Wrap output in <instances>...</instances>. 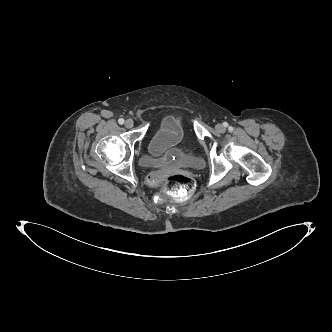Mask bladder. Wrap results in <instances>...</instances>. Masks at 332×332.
<instances>
[{
  "instance_id": "31cf9c89",
  "label": "bladder",
  "mask_w": 332,
  "mask_h": 332,
  "mask_svg": "<svg viewBox=\"0 0 332 332\" xmlns=\"http://www.w3.org/2000/svg\"><path fill=\"white\" fill-rule=\"evenodd\" d=\"M174 133L182 135L183 130L181 124L174 119H168L166 124L159 133L151 138L148 143L147 153L139 157V164L144 168L155 167H181V168H200L202 159L199 155L188 153L177 147V142H170L164 145L160 151H156V144L159 139L166 135Z\"/></svg>"
}]
</instances>
